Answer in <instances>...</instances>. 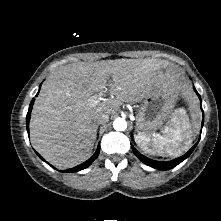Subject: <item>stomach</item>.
Segmentation results:
<instances>
[{
	"label": "stomach",
	"instance_id": "obj_1",
	"mask_svg": "<svg viewBox=\"0 0 221 221\" xmlns=\"http://www.w3.org/2000/svg\"><path fill=\"white\" fill-rule=\"evenodd\" d=\"M166 80L152 90L143 100L136 118V129L139 133L152 134L171 117L178 100L180 83L170 66L162 69Z\"/></svg>",
	"mask_w": 221,
	"mask_h": 221
}]
</instances>
